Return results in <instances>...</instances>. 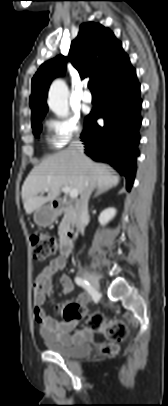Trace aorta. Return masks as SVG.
<instances>
[{"label": "aorta", "mask_w": 168, "mask_h": 406, "mask_svg": "<svg viewBox=\"0 0 168 406\" xmlns=\"http://www.w3.org/2000/svg\"><path fill=\"white\" fill-rule=\"evenodd\" d=\"M69 91L66 83L62 79H56L50 86L48 94V106L59 117H67Z\"/></svg>", "instance_id": "aorta-1"}]
</instances>
